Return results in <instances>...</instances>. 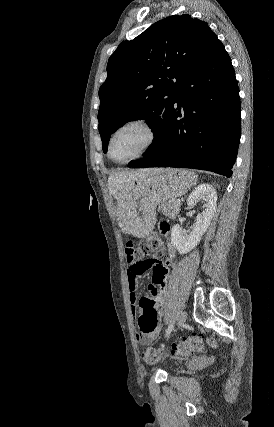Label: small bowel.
<instances>
[{"label": "small bowel", "instance_id": "c3829d8e", "mask_svg": "<svg viewBox=\"0 0 274 427\" xmlns=\"http://www.w3.org/2000/svg\"><path fill=\"white\" fill-rule=\"evenodd\" d=\"M124 250L129 253L125 255L126 261H136V254L130 253L133 250L130 244H127ZM174 258L173 251H169L166 258L158 262L159 264H129L127 267L132 312L135 313L137 298L139 299V308L150 310L139 311L138 318L135 321L136 326L141 327L143 334L136 335V341L141 345L155 340L159 333L164 331L162 320L164 319L163 305L168 292L167 271ZM140 278H150V283L146 287L147 293H140L137 296V283Z\"/></svg>", "mask_w": 274, "mask_h": 427}]
</instances>
